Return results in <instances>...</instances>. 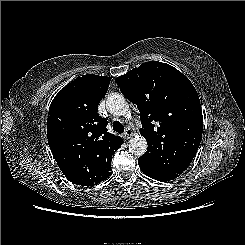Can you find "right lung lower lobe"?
Masks as SVG:
<instances>
[{
  "label": "right lung lower lobe",
  "instance_id": "right-lung-lower-lobe-1",
  "mask_svg": "<svg viewBox=\"0 0 245 245\" xmlns=\"http://www.w3.org/2000/svg\"><path fill=\"white\" fill-rule=\"evenodd\" d=\"M116 151V150H115ZM105 152L103 150L97 152L95 155L96 170L101 174V181H104L111 175V161L112 155L115 152ZM60 170L64 173L65 177L73 182L79 184L78 174L73 166L65 167L59 166Z\"/></svg>",
  "mask_w": 245,
  "mask_h": 245
}]
</instances>
